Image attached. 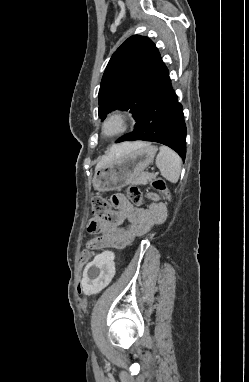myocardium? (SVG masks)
Masks as SVG:
<instances>
[{"instance_id": "f54148a6", "label": "myocardium", "mask_w": 249, "mask_h": 382, "mask_svg": "<svg viewBox=\"0 0 249 382\" xmlns=\"http://www.w3.org/2000/svg\"><path fill=\"white\" fill-rule=\"evenodd\" d=\"M128 128L127 114L121 110H114L108 113L101 123V134L104 137H116Z\"/></svg>"}]
</instances>
